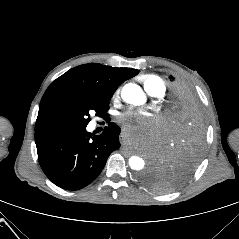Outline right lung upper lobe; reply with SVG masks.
Instances as JSON below:
<instances>
[{
    "label": "right lung upper lobe",
    "instance_id": "obj_1",
    "mask_svg": "<svg viewBox=\"0 0 239 239\" xmlns=\"http://www.w3.org/2000/svg\"><path fill=\"white\" fill-rule=\"evenodd\" d=\"M138 73L137 69L114 68L98 63L70 69L47 88L40 102L38 117L59 105L95 97L109 99L121 83Z\"/></svg>",
    "mask_w": 239,
    "mask_h": 239
}]
</instances>
